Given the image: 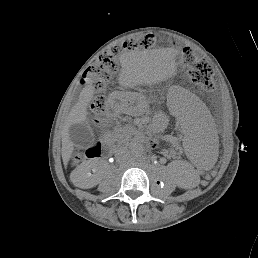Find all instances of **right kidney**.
I'll return each mask as SVG.
<instances>
[{"label": "right kidney", "mask_w": 258, "mask_h": 258, "mask_svg": "<svg viewBox=\"0 0 258 258\" xmlns=\"http://www.w3.org/2000/svg\"><path fill=\"white\" fill-rule=\"evenodd\" d=\"M73 176H74L73 183H79V182H82V181H87V178H90V179L92 178L91 173L84 168L75 170L74 173H73ZM97 183H98V181L94 180L90 183L89 187H92V186L96 185Z\"/></svg>", "instance_id": "ca27d5eb"}]
</instances>
